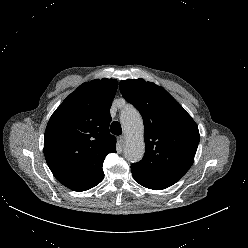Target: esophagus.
Returning <instances> with one entry per match:
<instances>
[{"instance_id":"1","label":"esophagus","mask_w":248,"mask_h":248,"mask_svg":"<svg viewBox=\"0 0 248 248\" xmlns=\"http://www.w3.org/2000/svg\"><path fill=\"white\" fill-rule=\"evenodd\" d=\"M118 142H119L121 145H123L124 142H125V136H124V135L119 136V137H118Z\"/></svg>"}]
</instances>
